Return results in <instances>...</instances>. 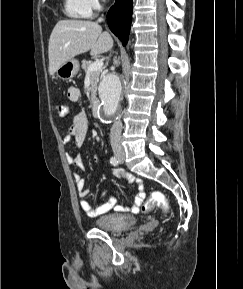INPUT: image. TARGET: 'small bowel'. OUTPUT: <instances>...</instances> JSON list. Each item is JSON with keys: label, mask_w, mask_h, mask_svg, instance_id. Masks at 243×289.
Returning <instances> with one entry per match:
<instances>
[{"label": "small bowel", "mask_w": 243, "mask_h": 289, "mask_svg": "<svg viewBox=\"0 0 243 289\" xmlns=\"http://www.w3.org/2000/svg\"><path fill=\"white\" fill-rule=\"evenodd\" d=\"M67 97L70 101H78L80 98L79 89L74 86L69 87L67 90ZM88 132L89 121L87 115L83 111L79 112L72 118V122L69 126L67 134L63 138V142L64 144H68L73 141L76 147H81L87 138ZM66 160L69 164L75 165L80 172H85V166L79 156H74L68 153L66 154ZM95 160L98 162L100 161L98 156H95ZM113 174L116 177L123 179L127 183L134 184L136 186L137 193L134 197L133 205L127 207L117 205V198L114 195H111L106 202L100 204L97 208H93L87 201V197L89 196L90 191L85 187V178L81 173H75L74 179L80 196V206L86 215L90 217H96L106 214L111 210H115L117 212L132 213H136L139 211V208L145 199V192L142 181L122 169H113ZM104 198L105 193H102L99 197V201H102Z\"/></svg>", "instance_id": "c3829d8e"}]
</instances>
